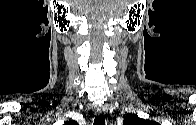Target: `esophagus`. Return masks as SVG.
Segmentation results:
<instances>
[{"mask_svg":"<svg viewBox=\"0 0 196 125\" xmlns=\"http://www.w3.org/2000/svg\"><path fill=\"white\" fill-rule=\"evenodd\" d=\"M97 114H98L99 116L104 114V110L102 109V107H98V108H97Z\"/></svg>","mask_w":196,"mask_h":125,"instance_id":"34e87169","label":"esophagus"}]
</instances>
